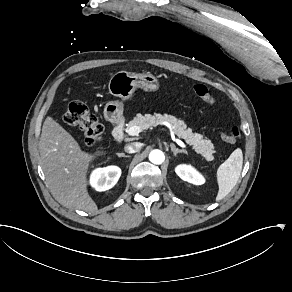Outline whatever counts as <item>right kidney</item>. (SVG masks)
Returning a JSON list of instances; mask_svg holds the SVG:
<instances>
[{
  "label": "right kidney",
  "instance_id": "ca27d5eb",
  "mask_svg": "<svg viewBox=\"0 0 292 292\" xmlns=\"http://www.w3.org/2000/svg\"><path fill=\"white\" fill-rule=\"evenodd\" d=\"M120 176L121 169L118 166L96 168L90 175V185L96 191H106L118 182Z\"/></svg>",
  "mask_w": 292,
  "mask_h": 292
}]
</instances>
